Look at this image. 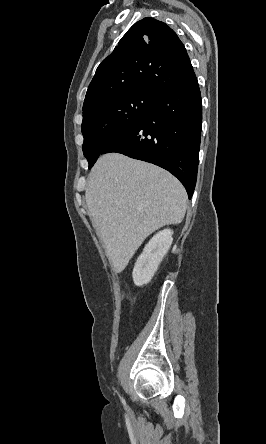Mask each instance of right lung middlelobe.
Listing matches in <instances>:
<instances>
[{"mask_svg": "<svg viewBox=\"0 0 266 444\" xmlns=\"http://www.w3.org/2000/svg\"><path fill=\"white\" fill-rule=\"evenodd\" d=\"M158 96L146 91L122 92L83 111V153L92 168L106 145L146 117Z\"/></svg>", "mask_w": 266, "mask_h": 444, "instance_id": "1", "label": "right lung middle lobe"}]
</instances>
